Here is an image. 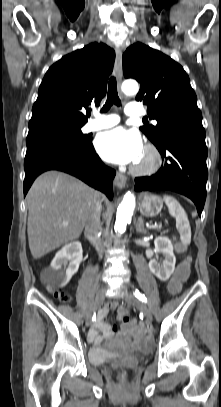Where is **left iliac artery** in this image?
<instances>
[{
  "instance_id": "left-iliac-artery-1",
  "label": "left iliac artery",
  "mask_w": 221,
  "mask_h": 407,
  "mask_svg": "<svg viewBox=\"0 0 221 407\" xmlns=\"http://www.w3.org/2000/svg\"><path fill=\"white\" fill-rule=\"evenodd\" d=\"M133 294H134L135 297H137L140 301H142V302H144V303L147 302V299H146L145 295L142 294L139 290L136 289L135 291H133Z\"/></svg>"
}]
</instances>
